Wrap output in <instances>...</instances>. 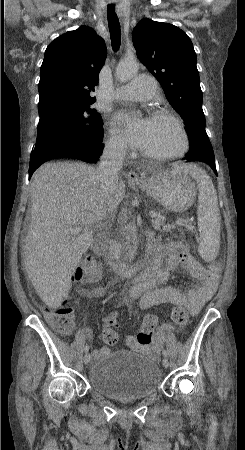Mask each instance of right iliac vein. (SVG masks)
<instances>
[{
	"label": "right iliac vein",
	"instance_id": "63e3f726",
	"mask_svg": "<svg viewBox=\"0 0 245 450\" xmlns=\"http://www.w3.org/2000/svg\"><path fill=\"white\" fill-rule=\"evenodd\" d=\"M90 358H91V356H90L89 353L85 354V356H84V363L88 364L90 362Z\"/></svg>",
	"mask_w": 245,
	"mask_h": 450
}]
</instances>
